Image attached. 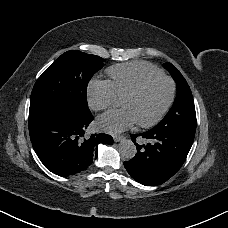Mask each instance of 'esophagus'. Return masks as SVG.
<instances>
[{
	"instance_id": "34e87169",
	"label": "esophagus",
	"mask_w": 228,
	"mask_h": 228,
	"mask_svg": "<svg viewBox=\"0 0 228 228\" xmlns=\"http://www.w3.org/2000/svg\"><path fill=\"white\" fill-rule=\"evenodd\" d=\"M124 139V136L123 135H119V136H115L114 137V141L117 143V142H120L121 140Z\"/></svg>"
}]
</instances>
